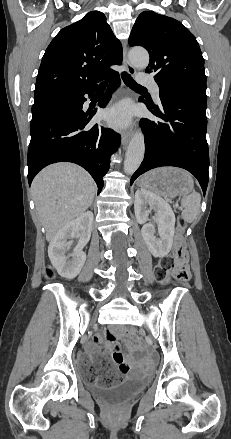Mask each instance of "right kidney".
Masks as SVG:
<instances>
[{
    "mask_svg": "<svg viewBox=\"0 0 231 439\" xmlns=\"http://www.w3.org/2000/svg\"><path fill=\"white\" fill-rule=\"evenodd\" d=\"M92 223L93 213L87 211L60 229L51 240L48 247V256L52 265L62 277L74 279L80 273L86 260L83 248L90 240ZM79 231H81V234L77 246L72 253L66 255L70 245L68 239L73 238Z\"/></svg>",
    "mask_w": 231,
    "mask_h": 439,
    "instance_id": "obj_1",
    "label": "right kidney"
}]
</instances>
